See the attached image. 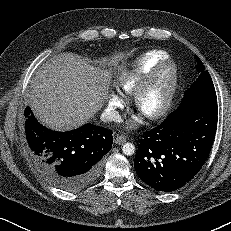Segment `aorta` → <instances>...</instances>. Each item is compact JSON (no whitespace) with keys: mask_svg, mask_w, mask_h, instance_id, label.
<instances>
[{"mask_svg":"<svg viewBox=\"0 0 231 231\" xmlns=\"http://www.w3.org/2000/svg\"><path fill=\"white\" fill-rule=\"evenodd\" d=\"M123 154L131 156L135 153V146L132 143H125L122 147Z\"/></svg>","mask_w":231,"mask_h":231,"instance_id":"1","label":"aorta"}]
</instances>
